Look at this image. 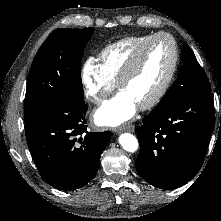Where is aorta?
Wrapping results in <instances>:
<instances>
[{"mask_svg":"<svg viewBox=\"0 0 221 221\" xmlns=\"http://www.w3.org/2000/svg\"><path fill=\"white\" fill-rule=\"evenodd\" d=\"M119 143L122 148L128 152H135L138 149V140L130 133L121 134L119 137Z\"/></svg>","mask_w":221,"mask_h":221,"instance_id":"1","label":"aorta"}]
</instances>
